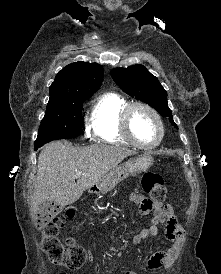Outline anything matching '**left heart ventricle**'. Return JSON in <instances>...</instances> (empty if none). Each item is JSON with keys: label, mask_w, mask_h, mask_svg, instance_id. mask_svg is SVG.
Wrapping results in <instances>:
<instances>
[{"label": "left heart ventricle", "mask_w": 221, "mask_h": 274, "mask_svg": "<svg viewBox=\"0 0 221 274\" xmlns=\"http://www.w3.org/2000/svg\"><path fill=\"white\" fill-rule=\"evenodd\" d=\"M131 129L135 138L143 144H153L159 136V127L155 118L141 108L132 113Z\"/></svg>", "instance_id": "left-heart-ventricle-1"}]
</instances>
